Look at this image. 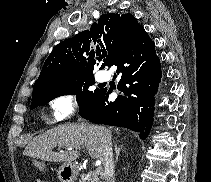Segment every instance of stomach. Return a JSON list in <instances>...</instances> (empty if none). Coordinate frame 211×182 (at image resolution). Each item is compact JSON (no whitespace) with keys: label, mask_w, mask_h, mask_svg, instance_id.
<instances>
[{"label":"stomach","mask_w":211,"mask_h":182,"mask_svg":"<svg viewBox=\"0 0 211 182\" xmlns=\"http://www.w3.org/2000/svg\"><path fill=\"white\" fill-rule=\"evenodd\" d=\"M78 169L73 163H63L58 171V178L61 182H75Z\"/></svg>","instance_id":"obj_1"}]
</instances>
